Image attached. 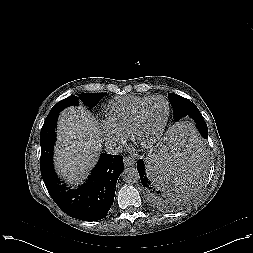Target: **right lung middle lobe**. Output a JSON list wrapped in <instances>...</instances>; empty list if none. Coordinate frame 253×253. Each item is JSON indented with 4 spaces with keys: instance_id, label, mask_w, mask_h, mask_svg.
Returning a JSON list of instances; mask_svg holds the SVG:
<instances>
[{
    "instance_id": "dd1d6c3e",
    "label": "right lung middle lobe",
    "mask_w": 253,
    "mask_h": 253,
    "mask_svg": "<svg viewBox=\"0 0 253 253\" xmlns=\"http://www.w3.org/2000/svg\"><path fill=\"white\" fill-rule=\"evenodd\" d=\"M104 96L105 93H84L79 96L72 95L54 105L45 119L40 133L41 159L49 158L53 155V146L56 139V124L52 122L54 121L53 115L60 113L66 107L78 106L80 102H83L92 109Z\"/></svg>"
}]
</instances>
